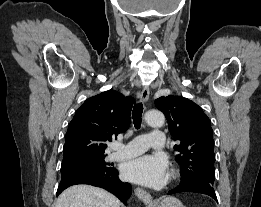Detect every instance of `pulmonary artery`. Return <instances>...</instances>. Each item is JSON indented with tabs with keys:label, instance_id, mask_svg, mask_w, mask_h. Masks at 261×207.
Wrapping results in <instances>:
<instances>
[{
	"label": "pulmonary artery",
	"instance_id": "e3ab8cb5",
	"mask_svg": "<svg viewBox=\"0 0 261 207\" xmlns=\"http://www.w3.org/2000/svg\"><path fill=\"white\" fill-rule=\"evenodd\" d=\"M164 139V133L156 130L149 134L137 136L127 144H114V152L109 156V159L123 160L136 157L150 147L162 149L164 147Z\"/></svg>",
	"mask_w": 261,
	"mask_h": 207
}]
</instances>
